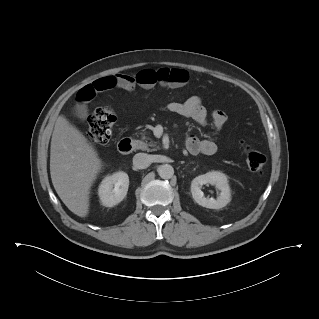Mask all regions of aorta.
<instances>
[{
    "instance_id": "aorta-1",
    "label": "aorta",
    "mask_w": 319,
    "mask_h": 319,
    "mask_svg": "<svg viewBox=\"0 0 319 319\" xmlns=\"http://www.w3.org/2000/svg\"><path fill=\"white\" fill-rule=\"evenodd\" d=\"M158 174L162 179H170L174 175V168L169 164L160 165Z\"/></svg>"
}]
</instances>
